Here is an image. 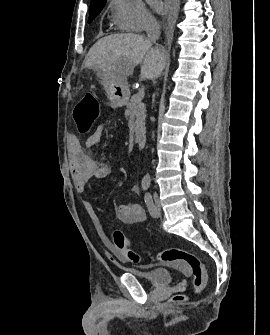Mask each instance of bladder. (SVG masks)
Returning a JSON list of instances; mask_svg holds the SVG:
<instances>
[{
    "instance_id": "obj_1",
    "label": "bladder",
    "mask_w": 270,
    "mask_h": 335,
    "mask_svg": "<svg viewBox=\"0 0 270 335\" xmlns=\"http://www.w3.org/2000/svg\"><path fill=\"white\" fill-rule=\"evenodd\" d=\"M136 274L139 279L147 284H154L157 286H169L172 280L173 272L167 269L158 268L151 271L137 272L129 271Z\"/></svg>"
}]
</instances>
